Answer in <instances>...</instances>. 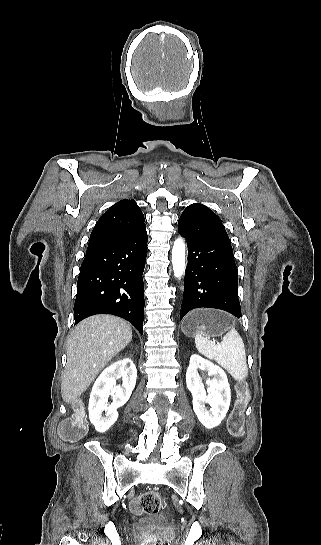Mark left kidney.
<instances>
[{
  "label": "left kidney",
  "mask_w": 321,
  "mask_h": 545,
  "mask_svg": "<svg viewBox=\"0 0 321 545\" xmlns=\"http://www.w3.org/2000/svg\"><path fill=\"white\" fill-rule=\"evenodd\" d=\"M197 369L207 371L209 377V395H206L202 379L197 373ZM186 385L193 397V409L200 423L206 429L218 427L221 421L225 419L231 401V391L226 373L223 369L213 365L210 361L202 359L199 355H192L189 361V367L186 371ZM210 405V411H207L205 405Z\"/></svg>",
  "instance_id": "obj_1"
}]
</instances>
